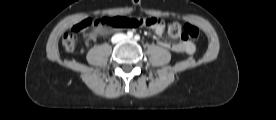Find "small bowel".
I'll return each instance as SVG.
<instances>
[{"label": "small bowel", "instance_id": "obj_1", "mask_svg": "<svg viewBox=\"0 0 276 120\" xmlns=\"http://www.w3.org/2000/svg\"><path fill=\"white\" fill-rule=\"evenodd\" d=\"M153 29H154V31L157 35H161L164 31V25L161 24L160 26L155 27ZM100 32H102V31H99V30L93 31L90 34L89 39L90 40H95L98 37V35L100 34ZM159 45L163 48L171 49L174 52L186 53L188 55L193 54L194 51H195V45L191 42H184L183 41V42L178 43V44H170V43L165 42V41H160Z\"/></svg>", "mask_w": 276, "mask_h": 120}]
</instances>
